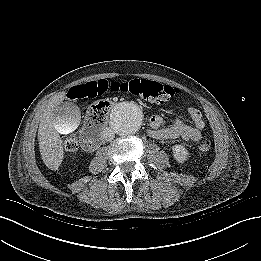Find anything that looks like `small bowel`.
Wrapping results in <instances>:
<instances>
[{
  "label": "small bowel",
  "instance_id": "obj_1",
  "mask_svg": "<svg viewBox=\"0 0 261 261\" xmlns=\"http://www.w3.org/2000/svg\"><path fill=\"white\" fill-rule=\"evenodd\" d=\"M74 99L76 98L74 97ZM187 115L191 120L190 124L182 118H177L170 126H165L164 119L161 116L153 115L149 121V136L161 140L182 138L187 141H198L206 125L202 113L195 107H189Z\"/></svg>",
  "mask_w": 261,
  "mask_h": 261
}]
</instances>
